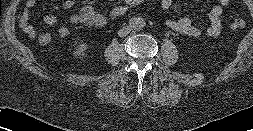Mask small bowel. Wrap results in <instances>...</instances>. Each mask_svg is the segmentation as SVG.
Instances as JSON below:
<instances>
[{"label": "small bowel", "instance_id": "c3829d8e", "mask_svg": "<svg viewBox=\"0 0 253 131\" xmlns=\"http://www.w3.org/2000/svg\"><path fill=\"white\" fill-rule=\"evenodd\" d=\"M39 0H26L24 9L22 11L19 25L22 31L28 35L31 39L37 40L40 44L42 39H51V34L47 32H38V30L30 22V12L35 7ZM163 9H169L174 0H159ZM231 0H218V3L214 5L208 13L209 26L205 30L206 36L215 38L220 35L222 30V13L224 7H226ZM75 0H64L62 7L66 10L73 8ZM58 19L55 15H45L43 17V23L47 26H55ZM108 17L104 13L97 12L92 6H83L78 13L70 17V23L72 25H83L88 28H101L106 26ZM166 26L171 30L189 37H198L202 34V30L193 25L191 20L187 17L180 19H167ZM58 35L61 38H67L70 35V30L66 26H62L58 29Z\"/></svg>", "mask_w": 253, "mask_h": 131}]
</instances>
